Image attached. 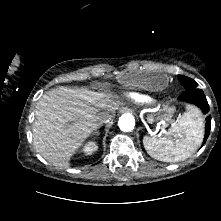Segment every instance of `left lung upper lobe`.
Listing matches in <instances>:
<instances>
[{
  "label": "left lung upper lobe",
  "mask_w": 221,
  "mask_h": 221,
  "mask_svg": "<svg viewBox=\"0 0 221 221\" xmlns=\"http://www.w3.org/2000/svg\"><path fill=\"white\" fill-rule=\"evenodd\" d=\"M178 78L182 83V85L184 86L185 90L197 88L198 84L193 79L183 75H178Z\"/></svg>",
  "instance_id": "5c2ea615"
}]
</instances>
